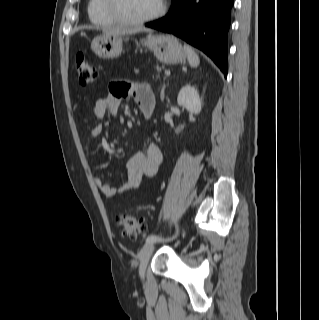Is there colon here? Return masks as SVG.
I'll use <instances>...</instances> for the list:
<instances>
[{"mask_svg":"<svg viewBox=\"0 0 319 320\" xmlns=\"http://www.w3.org/2000/svg\"><path fill=\"white\" fill-rule=\"evenodd\" d=\"M78 80L82 85H90L97 77V72L92 63L83 53H78L75 59ZM116 223L126 237L135 238L147 233V225L130 212H121L116 215Z\"/></svg>","mask_w":319,"mask_h":320,"instance_id":"5ec220e1","label":"colon"}]
</instances>
